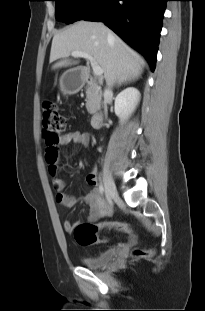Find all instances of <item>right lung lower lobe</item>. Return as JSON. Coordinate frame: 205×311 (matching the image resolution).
I'll return each mask as SVG.
<instances>
[{"mask_svg": "<svg viewBox=\"0 0 205 311\" xmlns=\"http://www.w3.org/2000/svg\"><path fill=\"white\" fill-rule=\"evenodd\" d=\"M168 0H103L82 20L103 22L140 52L154 71L161 20Z\"/></svg>", "mask_w": 205, "mask_h": 311, "instance_id": "98d812e1", "label": "right lung lower lobe"}]
</instances>
